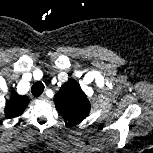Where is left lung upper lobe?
Instances as JSON below:
<instances>
[{
  "label": "left lung upper lobe",
  "mask_w": 153,
  "mask_h": 153,
  "mask_svg": "<svg viewBox=\"0 0 153 153\" xmlns=\"http://www.w3.org/2000/svg\"><path fill=\"white\" fill-rule=\"evenodd\" d=\"M54 103L62 117L72 124L84 120L91 109L86 94L74 79H70L61 86L54 96Z\"/></svg>",
  "instance_id": "left-lung-upper-lobe-1"
}]
</instances>
